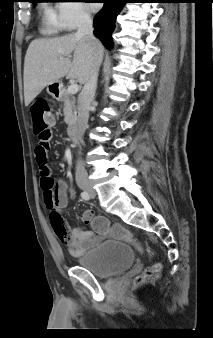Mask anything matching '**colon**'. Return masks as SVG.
Instances as JSON below:
<instances>
[{
  "instance_id": "obj_1",
  "label": "colon",
  "mask_w": 213,
  "mask_h": 338,
  "mask_svg": "<svg viewBox=\"0 0 213 338\" xmlns=\"http://www.w3.org/2000/svg\"><path fill=\"white\" fill-rule=\"evenodd\" d=\"M31 110L34 116V132L40 141H45L51 134L52 116L47 102L43 99H38L33 102ZM39 174L41 178V189L43 201L46 209L50 212V221L54 228L62 225L63 219L57 211V201L54 194V178L51 175L46 159L38 160ZM95 227H100V223H95ZM161 272V264L158 262L152 263L146 269L144 275L139 279L153 280L156 279Z\"/></svg>"
}]
</instances>
